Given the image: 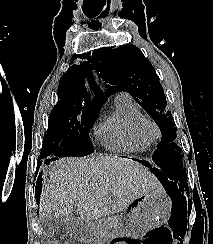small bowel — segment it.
<instances>
[{"instance_id": "obj_1", "label": "small bowel", "mask_w": 213, "mask_h": 244, "mask_svg": "<svg viewBox=\"0 0 213 244\" xmlns=\"http://www.w3.org/2000/svg\"><path fill=\"white\" fill-rule=\"evenodd\" d=\"M112 244H128L126 240L119 239V240H114Z\"/></svg>"}]
</instances>
